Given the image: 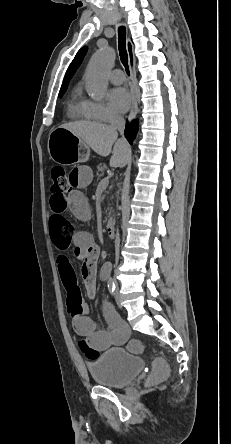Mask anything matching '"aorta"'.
<instances>
[{
    "label": "aorta",
    "instance_id": "1",
    "mask_svg": "<svg viewBox=\"0 0 231 444\" xmlns=\"http://www.w3.org/2000/svg\"><path fill=\"white\" fill-rule=\"evenodd\" d=\"M114 59L113 50L103 48L97 51L89 62L86 71V87L95 100H102L106 94L108 86L106 73Z\"/></svg>",
    "mask_w": 231,
    "mask_h": 444
}]
</instances>
